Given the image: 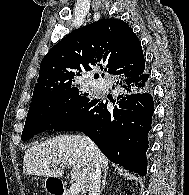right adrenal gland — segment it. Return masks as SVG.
<instances>
[{
    "label": "right adrenal gland",
    "mask_w": 189,
    "mask_h": 195,
    "mask_svg": "<svg viewBox=\"0 0 189 195\" xmlns=\"http://www.w3.org/2000/svg\"><path fill=\"white\" fill-rule=\"evenodd\" d=\"M106 176H107V170H104L103 179H102V185H101V192L103 191L104 186L106 184Z\"/></svg>",
    "instance_id": "2a0ac1e0"
}]
</instances>
